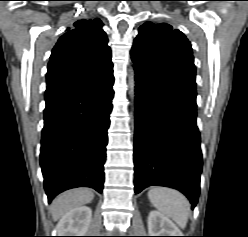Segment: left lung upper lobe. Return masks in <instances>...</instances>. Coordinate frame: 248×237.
<instances>
[{"mask_svg": "<svg viewBox=\"0 0 248 237\" xmlns=\"http://www.w3.org/2000/svg\"><path fill=\"white\" fill-rule=\"evenodd\" d=\"M134 67L175 87L196 89L191 44L185 35L166 23L146 22L139 28L131 50Z\"/></svg>", "mask_w": 248, "mask_h": 237, "instance_id": "5c2ea615", "label": "left lung upper lobe"}]
</instances>
